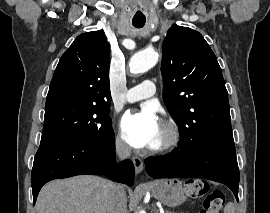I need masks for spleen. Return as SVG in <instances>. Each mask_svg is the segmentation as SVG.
I'll list each match as a JSON object with an SVG mask.
<instances>
[{
    "label": "spleen",
    "mask_w": 270,
    "mask_h": 213,
    "mask_svg": "<svg viewBox=\"0 0 270 213\" xmlns=\"http://www.w3.org/2000/svg\"><path fill=\"white\" fill-rule=\"evenodd\" d=\"M224 213H234V205L232 203H228L224 209Z\"/></svg>",
    "instance_id": "spleen-1"
}]
</instances>
